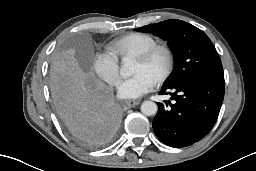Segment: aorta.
Returning <instances> with one entry per match:
<instances>
[{"instance_id":"1","label":"aorta","mask_w":256,"mask_h":171,"mask_svg":"<svg viewBox=\"0 0 256 171\" xmlns=\"http://www.w3.org/2000/svg\"><path fill=\"white\" fill-rule=\"evenodd\" d=\"M133 61L128 58L122 60L120 72L123 75L130 76L132 74ZM158 106L153 101H144L141 104V112L146 116H153L157 113Z\"/></svg>"}]
</instances>
